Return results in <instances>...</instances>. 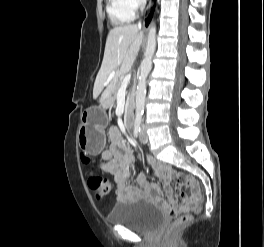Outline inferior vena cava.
Wrapping results in <instances>:
<instances>
[{"label":"inferior vena cava","mask_w":264,"mask_h":247,"mask_svg":"<svg viewBox=\"0 0 264 247\" xmlns=\"http://www.w3.org/2000/svg\"><path fill=\"white\" fill-rule=\"evenodd\" d=\"M141 2H142L143 4H145V0H141Z\"/></svg>","instance_id":"602c4592"}]
</instances>
